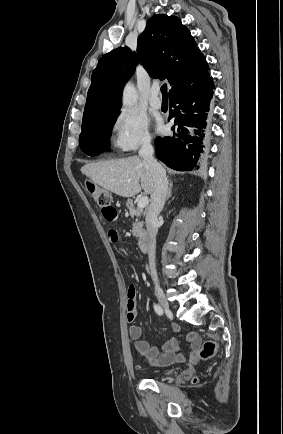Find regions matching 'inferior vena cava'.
I'll return each mask as SVG.
<instances>
[{"instance_id":"inferior-vena-cava-1","label":"inferior vena cava","mask_w":283,"mask_h":434,"mask_svg":"<svg viewBox=\"0 0 283 434\" xmlns=\"http://www.w3.org/2000/svg\"><path fill=\"white\" fill-rule=\"evenodd\" d=\"M154 149L151 141L147 140L143 143L139 156L150 168L153 177V191L151 193V203L146 214V228L150 238L148 246L149 268L152 279L158 282L157 271L155 267V250H156V235L158 232V215L162 211L166 196L168 193V180L164 168L154 159Z\"/></svg>"}]
</instances>
